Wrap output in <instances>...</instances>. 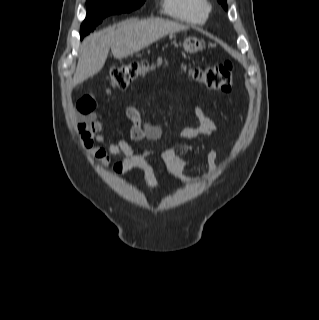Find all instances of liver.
I'll return each instance as SVG.
<instances>
[{"label": "liver", "instance_id": "obj_1", "mask_svg": "<svg viewBox=\"0 0 319 320\" xmlns=\"http://www.w3.org/2000/svg\"><path fill=\"white\" fill-rule=\"evenodd\" d=\"M186 29L184 25L164 19H128L90 34L82 43L83 50L78 59L73 85L82 83L100 72L110 48L116 59H122L168 34Z\"/></svg>", "mask_w": 319, "mask_h": 320}]
</instances>
